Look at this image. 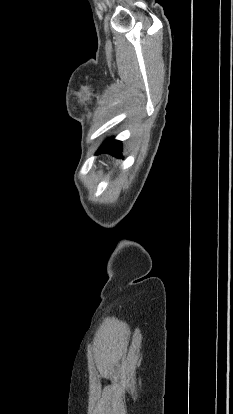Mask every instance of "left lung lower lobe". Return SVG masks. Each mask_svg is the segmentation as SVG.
Here are the masks:
<instances>
[{"instance_id":"obj_1","label":"left lung lower lobe","mask_w":233,"mask_h":414,"mask_svg":"<svg viewBox=\"0 0 233 414\" xmlns=\"http://www.w3.org/2000/svg\"><path fill=\"white\" fill-rule=\"evenodd\" d=\"M99 153H109L115 156H121V142L110 138L101 145L97 151V154Z\"/></svg>"}]
</instances>
